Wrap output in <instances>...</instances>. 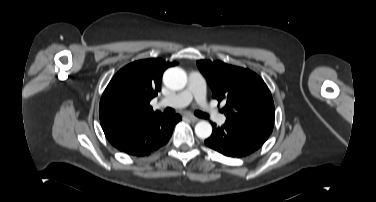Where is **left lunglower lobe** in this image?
<instances>
[{
  "label": "left lung lower lobe",
  "instance_id": "left-lung-lower-lobe-1",
  "mask_svg": "<svg viewBox=\"0 0 376 202\" xmlns=\"http://www.w3.org/2000/svg\"><path fill=\"white\" fill-rule=\"evenodd\" d=\"M212 135L205 144L229 157H242L259 149L268 139V133L226 121L221 127L213 124Z\"/></svg>",
  "mask_w": 376,
  "mask_h": 202
}]
</instances>
